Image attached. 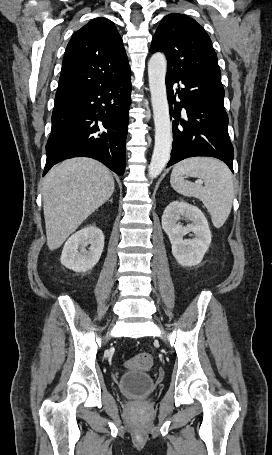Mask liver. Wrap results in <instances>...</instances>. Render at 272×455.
<instances>
[{
    "label": "liver",
    "mask_w": 272,
    "mask_h": 455,
    "mask_svg": "<svg viewBox=\"0 0 272 455\" xmlns=\"http://www.w3.org/2000/svg\"><path fill=\"white\" fill-rule=\"evenodd\" d=\"M114 192V179L100 162L74 158L54 166L42 186L47 246L58 249Z\"/></svg>",
    "instance_id": "6515ba94"
}]
</instances>
